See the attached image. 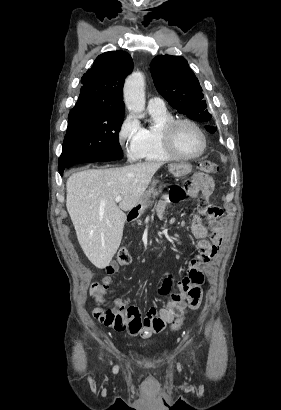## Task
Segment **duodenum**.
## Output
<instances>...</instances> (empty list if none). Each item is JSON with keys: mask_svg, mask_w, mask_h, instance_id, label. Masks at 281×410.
Instances as JSON below:
<instances>
[{"mask_svg": "<svg viewBox=\"0 0 281 410\" xmlns=\"http://www.w3.org/2000/svg\"><path fill=\"white\" fill-rule=\"evenodd\" d=\"M135 212L134 211H130L129 212V214H128V216H127V219L130 221V220H133L134 218H135Z\"/></svg>", "mask_w": 281, "mask_h": 410, "instance_id": "410a0bca", "label": "duodenum"}]
</instances>
